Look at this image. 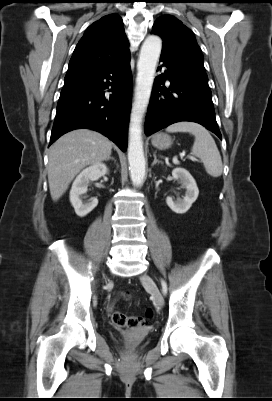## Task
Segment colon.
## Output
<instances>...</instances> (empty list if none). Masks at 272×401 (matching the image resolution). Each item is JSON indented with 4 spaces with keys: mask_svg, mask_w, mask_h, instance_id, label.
Masks as SVG:
<instances>
[{
    "mask_svg": "<svg viewBox=\"0 0 272 401\" xmlns=\"http://www.w3.org/2000/svg\"><path fill=\"white\" fill-rule=\"evenodd\" d=\"M152 316H153V311L149 309L145 317H128L120 312H113L111 315V319L116 327L134 329L146 326L149 323Z\"/></svg>",
    "mask_w": 272,
    "mask_h": 401,
    "instance_id": "5ec220e1",
    "label": "colon"
}]
</instances>
